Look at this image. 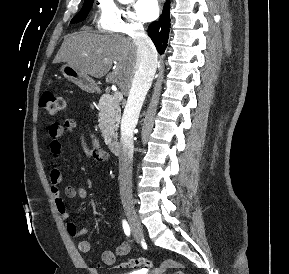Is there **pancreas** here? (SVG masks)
<instances>
[{
    "label": "pancreas",
    "mask_w": 289,
    "mask_h": 274,
    "mask_svg": "<svg viewBox=\"0 0 289 274\" xmlns=\"http://www.w3.org/2000/svg\"><path fill=\"white\" fill-rule=\"evenodd\" d=\"M99 128L106 143H111L117 137L121 119L120 100L110 94L101 96L99 103Z\"/></svg>",
    "instance_id": "1"
}]
</instances>
